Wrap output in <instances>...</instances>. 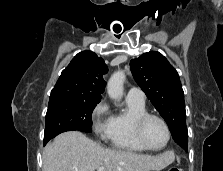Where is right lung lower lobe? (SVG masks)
<instances>
[{"mask_svg":"<svg viewBox=\"0 0 223 171\" xmlns=\"http://www.w3.org/2000/svg\"><path fill=\"white\" fill-rule=\"evenodd\" d=\"M72 129H70V130H66V131H71ZM65 132V131H64ZM47 142H44V145L46 144Z\"/></svg>","mask_w":223,"mask_h":171,"instance_id":"1","label":"right lung lower lobe"}]
</instances>
